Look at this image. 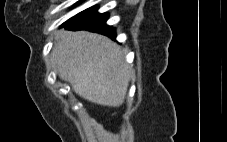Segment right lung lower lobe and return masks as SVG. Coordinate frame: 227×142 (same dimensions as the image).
<instances>
[{"label":"right lung lower lobe","mask_w":227,"mask_h":142,"mask_svg":"<svg viewBox=\"0 0 227 142\" xmlns=\"http://www.w3.org/2000/svg\"><path fill=\"white\" fill-rule=\"evenodd\" d=\"M107 19L108 14L93 12L81 18L67 21L63 26L72 30H88L115 38L116 34L114 28L106 25Z\"/></svg>","instance_id":"right-lung-lower-lobe-1"}]
</instances>
